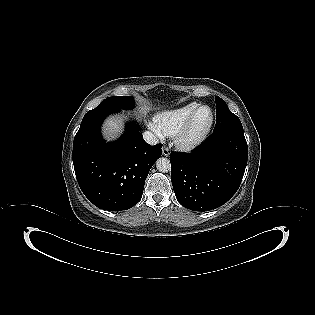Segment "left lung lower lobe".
Wrapping results in <instances>:
<instances>
[{
  "label": "left lung lower lobe",
  "instance_id": "0a47b994",
  "mask_svg": "<svg viewBox=\"0 0 315 315\" xmlns=\"http://www.w3.org/2000/svg\"><path fill=\"white\" fill-rule=\"evenodd\" d=\"M247 158V142L239 130L213 133L190 153L171 152V181L177 200L197 211L223 205L238 190Z\"/></svg>",
  "mask_w": 315,
  "mask_h": 315
}]
</instances>
